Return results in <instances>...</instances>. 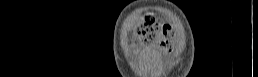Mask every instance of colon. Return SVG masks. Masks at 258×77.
I'll return each instance as SVG.
<instances>
[{"mask_svg": "<svg viewBox=\"0 0 258 77\" xmlns=\"http://www.w3.org/2000/svg\"><path fill=\"white\" fill-rule=\"evenodd\" d=\"M137 34L146 44H158L163 49H167L171 44V27L168 24L159 23L150 15L143 18L137 27Z\"/></svg>", "mask_w": 258, "mask_h": 77, "instance_id": "5ec220e1", "label": "colon"}]
</instances>
